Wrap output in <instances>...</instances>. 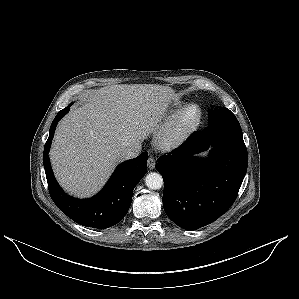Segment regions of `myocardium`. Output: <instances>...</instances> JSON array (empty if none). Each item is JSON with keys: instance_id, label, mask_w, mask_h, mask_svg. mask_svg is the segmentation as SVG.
<instances>
[{"instance_id": "obj_1", "label": "myocardium", "mask_w": 299, "mask_h": 299, "mask_svg": "<svg viewBox=\"0 0 299 299\" xmlns=\"http://www.w3.org/2000/svg\"><path fill=\"white\" fill-rule=\"evenodd\" d=\"M197 112L194 120L185 122L186 115ZM202 120V109L197 104H189L179 110L156 135V141L162 148L169 149L184 143L199 127Z\"/></svg>"}]
</instances>
